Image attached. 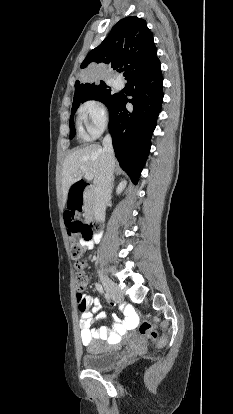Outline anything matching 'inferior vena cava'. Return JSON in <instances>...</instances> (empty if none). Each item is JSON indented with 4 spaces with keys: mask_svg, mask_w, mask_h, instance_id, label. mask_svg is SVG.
Here are the masks:
<instances>
[{
    "mask_svg": "<svg viewBox=\"0 0 233 414\" xmlns=\"http://www.w3.org/2000/svg\"><path fill=\"white\" fill-rule=\"evenodd\" d=\"M115 167L112 139L109 134L103 139L101 166L94 179V216L96 221H104L106 205L111 198V182Z\"/></svg>",
    "mask_w": 233,
    "mask_h": 414,
    "instance_id": "obj_1",
    "label": "inferior vena cava"
}]
</instances>
